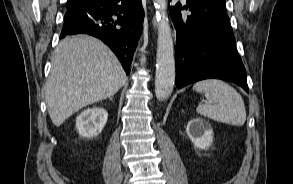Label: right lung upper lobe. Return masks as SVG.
I'll return each instance as SVG.
<instances>
[{"label": "right lung upper lobe", "instance_id": "obj_1", "mask_svg": "<svg viewBox=\"0 0 293 184\" xmlns=\"http://www.w3.org/2000/svg\"><path fill=\"white\" fill-rule=\"evenodd\" d=\"M86 0H68L67 9L80 5Z\"/></svg>", "mask_w": 293, "mask_h": 184}]
</instances>
